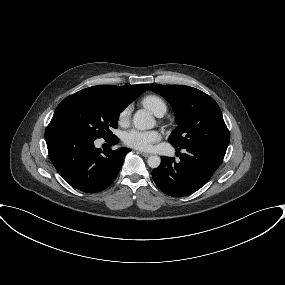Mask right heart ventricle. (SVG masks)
<instances>
[{
    "mask_svg": "<svg viewBox=\"0 0 285 285\" xmlns=\"http://www.w3.org/2000/svg\"><path fill=\"white\" fill-rule=\"evenodd\" d=\"M143 105L148 108L155 115L165 114L167 111V104L163 98L158 95H147L142 100Z\"/></svg>",
    "mask_w": 285,
    "mask_h": 285,
    "instance_id": "1",
    "label": "right heart ventricle"
}]
</instances>
